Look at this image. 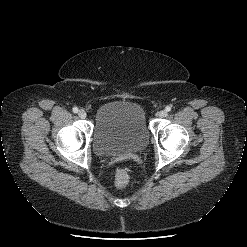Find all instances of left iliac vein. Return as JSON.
<instances>
[{"mask_svg": "<svg viewBox=\"0 0 247 247\" xmlns=\"http://www.w3.org/2000/svg\"><path fill=\"white\" fill-rule=\"evenodd\" d=\"M168 115V112L166 110H161L159 113H158V116L161 117V118H164Z\"/></svg>", "mask_w": 247, "mask_h": 247, "instance_id": "4c4485c4", "label": "left iliac vein"}]
</instances>
